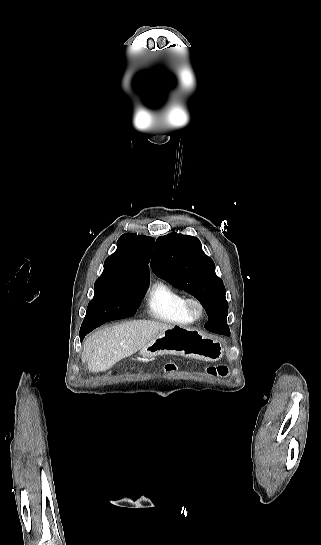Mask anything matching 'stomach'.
<instances>
[{"mask_svg":"<svg viewBox=\"0 0 321 545\" xmlns=\"http://www.w3.org/2000/svg\"><path fill=\"white\" fill-rule=\"evenodd\" d=\"M140 355L144 359H155L158 355H181L214 363L222 359L224 347L220 339H210L201 331L175 325L147 343Z\"/></svg>","mask_w":321,"mask_h":545,"instance_id":"0dacf381","label":"stomach"}]
</instances>
